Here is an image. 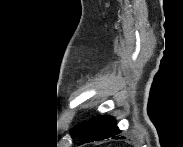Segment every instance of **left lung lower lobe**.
Here are the masks:
<instances>
[{"instance_id":"0a47b994","label":"left lung lower lobe","mask_w":183,"mask_h":147,"mask_svg":"<svg viewBox=\"0 0 183 147\" xmlns=\"http://www.w3.org/2000/svg\"><path fill=\"white\" fill-rule=\"evenodd\" d=\"M120 133V130L116 126L115 119L110 116H101L94 118L82 125L76 137L82 143L100 141L116 136ZM122 138V137H120Z\"/></svg>"}]
</instances>
